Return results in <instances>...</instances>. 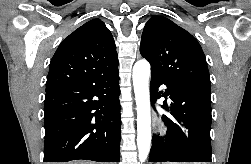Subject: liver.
<instances>
[{
  "instance_id": "obj_1",
  "label": "liver",
  "mask_w": 251,
  "mask_h": 164,
  "mask_svg": "<svg viewBox=\"0 0 251 164\" xmlns=\"http://www.w3.org/2000/svg\"><path fill=\"white\" fill-rule=\"evenodd\" d=\"M67 164H95V163L85 162V161H74V162H70V163H67Z\"/></svg>"
}]
</instances>
